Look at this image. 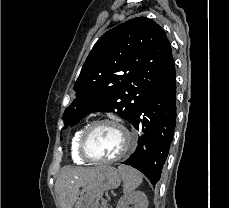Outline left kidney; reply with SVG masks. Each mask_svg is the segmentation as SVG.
<instances>
[{
  "mask_svg": "<svg viewBox=\"0 0 229 208\" xmlns=\"http://www.w3.org/2000/svg\"><path fill=\"white\" fill-rule=\"evenodd\" d=\"M129 204H134V208H148V198L144 192H131L120 198L117 208H128Z\"/></svg>",
  "mask_w": 229,
  "mask_h": 208,
  "instance_id": "left-kidney-1",
  "label": "left kidney"
}]
</instances>
